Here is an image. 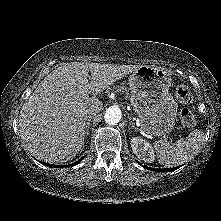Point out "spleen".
Returning <instances> with one entry per match:
<instances>
[{
  "label": "spleen",
  "instance_id": "3e777b00",
  "mask_svg": "<svg viewBox=\"0 0 221 221\" xmlns=\"http://www.w3.org/2000/svg\"><path fill=\"white\" fill-rule=\"evenodd\" d=\"M202 130H194L187 138H181L174 143L159 140L154 143L160 164L172 167L181 165L192 159L204 140Z\"/></svg>",
  "mask_w": 221,
  "mask_h": 221
}]
</instances>
